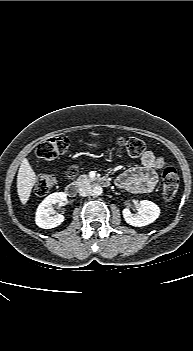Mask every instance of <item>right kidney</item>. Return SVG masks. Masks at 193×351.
<instances>
[{"label": "right kidney", "mask_w": 193, "mask_h": 351, "mask_svg": "<svg viewBox=\"0 0 193 351\" xmlns=\"http://www.w3.org/2000/svg\"><path fill=\"white\" fill-rule=\"evenodd\" d=\"M67 200L65 192H55L48 195L38 206L35 216L36 224L43 229H51L59 226L64 221V216L54 214L53 205L58 203L63 204Z\"/></svg>", "instance_id": "right-kidney-1"}]
</instances>
